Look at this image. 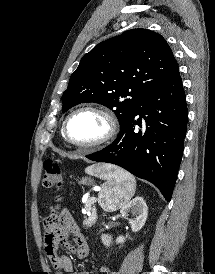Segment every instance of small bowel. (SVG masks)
<instances>
[{
    "label": "small bowel",
    "instance_id": "obj_1",
    "mask_svg": "<svg viewBox=\"0 0 215 274\" xmlns=\"http://www.w3.org/2000/svg\"><path fill=\"white\" fill-rule=\"evenodd\" d=\"M44 231L45 251L56 270L55 274H89L85 271L74 272L71 259L67 255L58 253L60 247L66 248L79 258L87 257L90 252L86 237L67 211H63L60 215L52 214L49 216L44 221ZM99 272L109 273V268L101 266Z\"/></svg>",
    "mask_w": 215,
    "mask_h": 274
}]
</instances>
